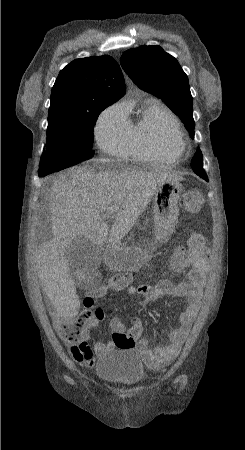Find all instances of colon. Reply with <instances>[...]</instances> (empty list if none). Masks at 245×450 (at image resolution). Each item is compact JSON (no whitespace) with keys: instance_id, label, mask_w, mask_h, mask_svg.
I'll use <instances>...</instances> for the list:
<instances>
[{"instance_id":"obj_1","label":"colon","mask_w":245,"mask_h":450,"mask_svg":"<svg viewBox=\"0 0 245 450\" xmlns=\"http://www.w3.org/2000/svg\"><path fill=\"white\" fill-rule=\"evenodd\" d=\"M181 206L185 212L191 214L199 213L204 207V199L201 192L196 189L185 191L181 198ZM187 244L188 247L192 251L198 253L201 258L206 259L210 256V251L202 233L190 231L187 234ZM130 281V273L121 271L104 278L102 283L105 289H111L113 287H123ZM86 307H91L90 301L87 302ZM87 309H89V311L83 313L79 318L64 321L60 325V329L69 339L82 344L87 343L93 324L96 321H102L105 318L103 310L98 308L93 309V307ZM141 332L142 322L139 319H134L128 332H115L114 337L119 342L120 346L128 347L134 345Z\"/></svg>"}]
</instances>
